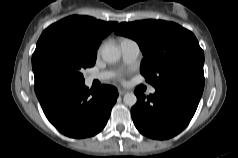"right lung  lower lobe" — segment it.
Wrapping results in <instances>:
<instances>
[{"mask_svg":"<svg viewBox=\"0 0 238 158\" xmlns=\"http://www.w3.org/2000/svg\"><path fill=\"white\" fill-rule=\"evenodd\" d=\"M34 88L48 120L72 138H85L100 132L118 97L113 86L103 85L93 91L85 83L53 74L35 77Z\"/></svg>","mask_w":238,"mask_h":158,"instance_id":"obj_1","label":"right lung lower lobe"}]
</instances>
